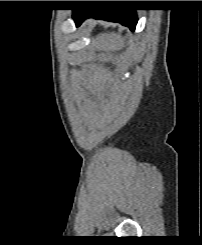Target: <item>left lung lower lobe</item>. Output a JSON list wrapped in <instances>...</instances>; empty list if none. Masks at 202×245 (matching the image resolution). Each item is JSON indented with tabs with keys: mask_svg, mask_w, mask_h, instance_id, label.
<instances>
[{
	"mask_svg": "<svg viewBox=\"0 0 202 245\" xmlns=\"http://www.w3.org/2000/svg\"><path fill=\"white\" fill-rule=\"evenodd\" d=\"M103 19L107 21L119 22L124 26L135 30L137 16L133 9H75L73 10V19L76 26H79L86 18Z\"/></svg>",
	"mask_w": 202,
	"mask_h": 245,
	"instance_id": "obj_1",
	"label": "left lung lower lobe"
}]
</instances>
